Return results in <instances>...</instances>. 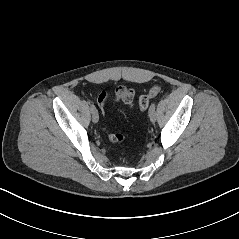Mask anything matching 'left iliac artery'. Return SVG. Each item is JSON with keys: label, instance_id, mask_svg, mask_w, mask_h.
Segmentation results:
<instances>
[{"label": "left iliac artery", "instance_id": "left-iliac-artery-1", "mask_svg": "<svg viewBox=\"0 0 239 239\" xmlns=\"http://www.w3.org/2000/svg\"><path fill=\"white\" fill-rule=\"evenodd\" d=\"M155 108H156V104H155V103H152L151 106H150V108H149V112L154 111Z\"/></svg>", "mask_w": 239, "mask_h": 239}]
</instances>
